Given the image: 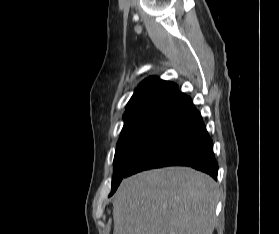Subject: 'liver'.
I'll list each match as a JSON object with an SVG mask.
<instances>
[{
  "instance_id": "obj_1",
  "label": "liver",
  "mask_w": 279,
  "mask_h": 234,
  "mask_svg": "<svg viewBox=\"0 0 279 234\" xmlns=\"http://www.w3.org/2000/svg\"><path fill=\"white\" fill-rule=\"evenodd\" d=\"M217 184L188 167L123 180L113 201L114 234H213Z\"/></svg>"
}]
</instances>
